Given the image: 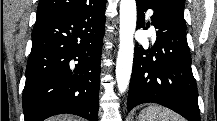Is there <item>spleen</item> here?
<instances>
[{
  "label": "spleen",
  "instance_id": "1",
  "mask_svg": "<svg viewBox=\"0 0 217 121\" xmlns=\"http://www.w3.org/2000/svg\"><path fill=\"white\" fill-rule=\"evenodd\" d=\"M139 121H183L175 113L167 108L150 105L143 109L139 115Z\"/></svg>",
  "mask_w": 217,
  "mask_h": 121
}]
</instances>
